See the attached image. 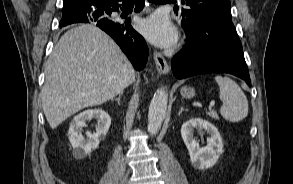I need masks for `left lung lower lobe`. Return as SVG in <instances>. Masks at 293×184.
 Instances as JSON below:
<instances>
[{
  "instance_id": "obj_1",
  "label": "left lung lower lobe",
  "mask_w": 293,
  "mask_h": 184,
  "mask_svg": "<svg viewBox=\"0 0 293 184\" xmlns=\"http://www.w3.org/2000/svg\"><path fill=\"white\" fill-rule=\"evenodd\" d=\"M209 12L211 10H201L196 19L182 18L187 43L172 59L173 74L182 79L202 73L225 72L240 77L251 86L242 45L232 19Z\"/></svg>"
}]
</instances>
